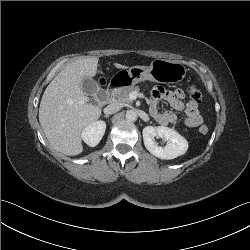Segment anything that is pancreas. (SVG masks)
Masks as SVG:
<instances>
[{"label": "pancreas", "mask_w": 250, "mask_h": 250, "mask_svg": "<svg viewBox=\"0 0 250 250\" xmlns=\"http://www.w3.org/2000/svg\"><path fill=\"white\" fill-rule=\"evenodd\" d=\"M140 91L138 86H129L126 88H118L114 91L113 97L115 101L120 103H131L130 94L132 92L138 93Z\"/></svg>", "instance_id": "1"}]
</instances>
